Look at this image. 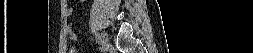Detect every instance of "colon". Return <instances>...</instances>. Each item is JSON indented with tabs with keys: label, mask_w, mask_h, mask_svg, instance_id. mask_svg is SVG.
<instances>
[{
	"label": "colon",
	"mask_w": 253,
	"mask_h": 53,
	"mask_svg": "<svg viewBox=\"0 0 253 53\" xmlns=\"http://www.w3.org/2000/svg\"><path fill=\"white\" fill-rule=\"evenodd\" d=\"M76 52H77V51H76L75 48H71L70 53H76Z\"/></svg>",
	"instance_id": "5ec220e1"
}]
</instances>
